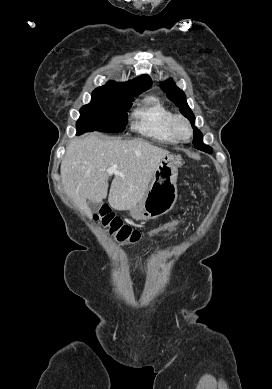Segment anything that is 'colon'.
Here are the masks:
<instances>
[{
	"label": "colon",
	"mask_w": 272,
	"mask_h": 389,
	"mask_svg": "<svg viewBox=\"0 0 272 389\" xmlns=\"http://www.w3.org/2000/svg\"><path fill=\"white\" fill-rule=\"evenodd\" d=\"M95 217L96 220H98L100 224L120 243L134 245L139 243L144 237L143 232L124 224L122 220L113 214L108 208L100 209L99 213ZM184 222L185 218L174 219L150 230L147 233V236L155 237L170 234L178 230Z\"/></svg>",
	"instance_id": "obj_1"
}]
</instances>
